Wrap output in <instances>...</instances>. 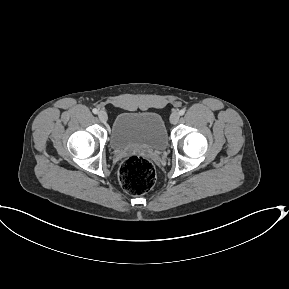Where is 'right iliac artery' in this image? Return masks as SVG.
<instances>
[{
  "mask_svg": "<svg viewBox=\"0 0 289 289\" xmlns=\"http://www.w3.org/2000/svg\"><path fill=\"white\" fill-rule=\"evenodd\" d=\"M92 112H93L94 114H97V113H98V110H97L96 108H94V109L92 110Z\"/></svg>",
  "mask_w": 289,
  "mask_h": 289,
  "instance_id": "right-iliac-artery-1",
  "label": "right iliac artery"
}]
</instances>
